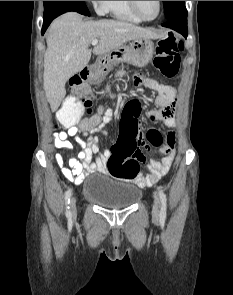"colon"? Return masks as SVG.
I'll return each mask as SVG.
<instances>
[{
	"label": "colon",
	"mask_w": 233,
	"mask_h": 295,
	"mask_svg": "<svg viewBox=\"0 0 233 295\" xmlns=\"http://www.w3.org/2000/svg\"><path fill=\"white\" fill-rule=\"evenodd\" d=\"M183 42L174 34L169 33L162 38L156 48L154 66L167 77H175L180 68V53ZM143 83L147 88L166 98L176 96L174 87L146 79ZM73 94L61 107L59 121L66 126L74 124L86 112L90 116L81 124L85 129H92L100 122L99 114L92 113L93 93L86 80L75 77L71 82ZM120 133L117 142L111 148L108 161V172L116 178L134 179L140 172V165L145 162L143 148L156 147L162 150L165 139L157 130H149L144 136L139 129L137 118L131 112L124 111L119 124Z\"/></svg>",
	"instance_id": "1"
}]
</instances>
